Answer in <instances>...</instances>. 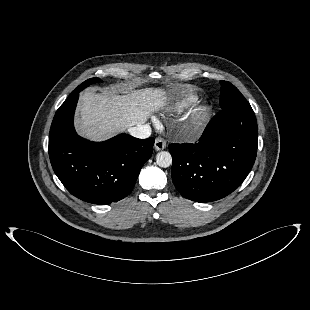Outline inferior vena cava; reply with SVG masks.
Instances as JSON below:
<instances>
[{"instance_id":"inferior-vena-cava-1","label":"inferior vena cava","mask_w":310,"mask_h":310,"mask_svg":"<svg viewBox=\"0 0 310 310\" xmlns=\"http://www.w3.org/2000/svg\"><path fill=\"white\" fill-rule=\"evenodd\" d=\"M128 132L131 136L145 139L151 135V127L148 124H139L135 127H130Z\"/></svg>"}]
</instances>
